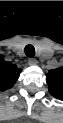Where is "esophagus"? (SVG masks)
<instances>
[{"instance_id":"obj_1","label":"esophagus","mask_w":63,"mask_h":123,"mask_svg":"<svg viewBox=\"0 0 63 123\" xmlns=\"http://www.w3.org/2000/svg\"><path fill=\"white\" fill-rule=\"evenodd\" d=\"M28 64H29V65H36V64H37V60L34 59V58H30V59L28 60Z\"/></svg>"}]
</instances>
